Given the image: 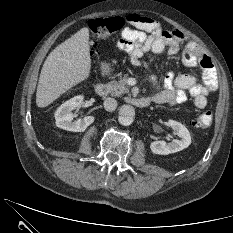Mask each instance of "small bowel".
I'll return each instance as SVG.
<instances>
[{
  "label": "small bowel",
  "mask_w": 233,
  "mask_h": 233,
  "mask_svg": "<svg viewBox=\"0 0 233 233\" xmlns=\"http://www.w3.org/2000/svg\"><path fill=\"white\" fill-rule=\"evenodd\" d=\"M127 21L131 27H125L115 47L127 53L136 65H145L142 58L151 57L164 51L175 54L184 45L183 63L189 68L200 66L202 82L191 74L175 76L168 72L164 78V89L151 97L159 104L177 105L187 100V93L193 98L195 107L202 109L207 105V96L217 89L218 81L215 66L211 58L194 42L177 29L165 30L148 17L130 14Z\"/></svg>",
  "instance_id": "1"
}]
</instances>
